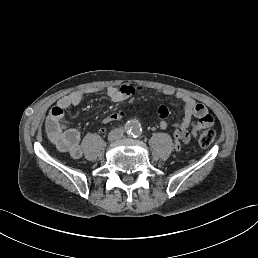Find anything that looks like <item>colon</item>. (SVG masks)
<instances>
[{
  "mask_svg": "<svg viewBox=\"0 0 258 258\" xmlns=\"http://www.w3.org/2000/svg\"><path fill=\"white\" fill-rule=\"evenodd\" d=\"M216 138V132L213 129L206 130L199 135L198 143L201 147L207 148L213 144Z\"/></svg>",
  "mask_w": 258,
  "mask_h": 258,
  "instance_id": "colon-1",
  "label": "colon"
}]
</instances>
